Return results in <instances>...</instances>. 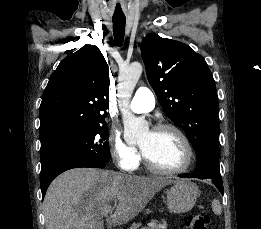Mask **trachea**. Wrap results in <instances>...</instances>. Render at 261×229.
Segmentation results:
<instances>
[{
    "label": "trachea",
    "instance_id": "1",
    "mask_svg": "<svg viewBox=\"0 0 261 229\" xmlns=\"http://www.w3.org/2000/svg\"><path fill=\"white\" fill-rule=\"evenodd\" d=\"M125 23L126 17L113 16V34L118 46H121L124 40Z\"/></svg>",
    "mask_w": 261,
    "mask_h": 229
}]
</instances>
